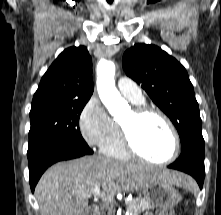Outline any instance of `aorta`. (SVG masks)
I'll use <instances>...</instances> for the list:
<instances>
[{
	"label": "aorta",
	"instance_id": "obj_1",
	"mask_svg": "<svg viewBox=\"0 0 221 215\" xmlns=\"http://www.w3.org/2000/svg\"><path fill=\"white\" fill-rule=\"evenodd\" d=\"M115 64L112 61L101 60L97 65V90L102 103L111 115L127 109L128 103L115 87Z\"/></svg>",
	"mask_w": 221,
	"mask_h": 215
}]
</instances>
